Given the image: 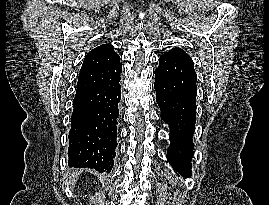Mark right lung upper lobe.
Returning <instances> with one entry per match:
<instances>
[{"mask_svg": "<svg viewBox=\"0 0 269 205\" xmlns=\"http://www.w3.org/2000/svg\"><path fill=\"white\" fill-rule=\"evenodd\" d=\"M121 72L120 57L112 45H100L85 56L77 89L110 85L120 79Z\"/></svg>", "mask_w": 269, "mask_h": 205, "instance_id": "1", "label": "right lung upper lobe"}]
</instances>
